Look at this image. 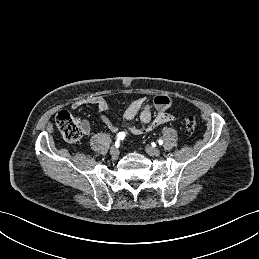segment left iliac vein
<instances>
[{"label":"left iliac vein","mask_w":259,"mask_h":259,"mask_svg":"<svg viewBox=\"0 0 259 259\" xmlns=\"http://www.w3.org/2000/svg\"><path fill=\"white\" fill-rule=\"evenodd\" d=\"M145 151L149 156H159L160 150L156 147L146 146Z\"/></svg>","instance_id":"1"}]
</instances>
